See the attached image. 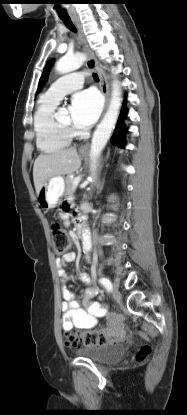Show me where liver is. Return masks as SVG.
<instances>
[{
  "mask_svg": "<svg viewBox=\"0 0 187 415\" xmlns=\"http://www.w3.org/2000/svg\"><path fill=\"white\" fill-rule=\"evenodd\" d=\"M81 165L75 148H68L50 154H40L33 166V180L36 193L40 192L45 182L54 176L71 174Z\"/></svg>",
  "mask_w": 187,
  "mask_h": 415,
  "instance_id": "obj_1",
  "label": "liver"
}]
</instances>
